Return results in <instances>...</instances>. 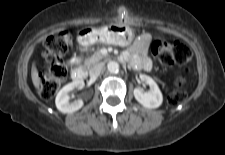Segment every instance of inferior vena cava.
<instances>
[{"instance_id": "inferior-vena-cava-1", "label": "inferior vena cava", "mask_w": 225, "mask_h": 155, "mask_svg": "<svg viewBox=\"0 0 225 155\" xmlns=\"http://www.w3.org/2000/svg\"><path fill=\"white\" fill-rule=\"evenodd\" d=\"M103 67H104L103 63H98V64L94 65L89 70L90 77L93 79L97 78L100 75L101 71L103 70Z\"/></svg>"}]
</instances>
